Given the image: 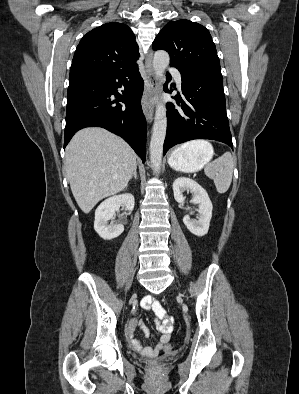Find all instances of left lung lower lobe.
<instances>
[{
  "label": "left lung lower lobe",
  "mask_w": 299,
  "mask_h": 394,
  "mask_svg": "<svg viewBox=\"0 0 299 394\" xmlns=\"http://www.w3.org/2000/svg\"><path fill=\"white\" fill-rule=\"evenodd\" d=\"M167 78L171 79L169 73ZM183 99L167 103V132L163 155L172 146L193 139H212L233 148L226 114L223 77L211 72L181 74ZM164 91L171 93L164 85Z\"/></svg>",
  "instance_id": "1"
}]
</instances>
